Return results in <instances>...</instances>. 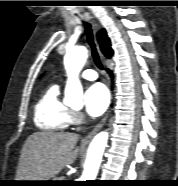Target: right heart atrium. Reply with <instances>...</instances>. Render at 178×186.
<instances>
[{"label":"right heart atrium","mask_w":178,"mask_h":186,"mask_svg":"<svg viewBox=\"0 0 178 186\" xmlns=\"http://www.w3.org/2000/svg\"><path fill=\"white\" fill-rule=\"evenodd\" d=\"M83 121V115L78 111H72L71 114V123L72 124H79Z\"/></svg>","instance_id":"1"}]
</instances>
